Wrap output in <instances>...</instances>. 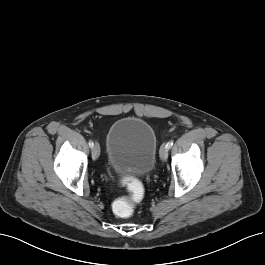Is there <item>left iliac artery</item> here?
I'll list each match as a JSON object with an SVG mask.
<instances>
[{"mask_svg": "<svg viewBox=\"0 0 265 265\" xmlns=\"http://www.w3.org/2000/svg\"><path fill=\"white\" fill-rule=\"evenodd\" d=\"M166 146L170 149L173 146V140L169 141Z\"/></svg>", "mask_w": 265, "mask_h": 265, "instance_id": "obj_1", "label": "left iliac artery"}]
</instances>
